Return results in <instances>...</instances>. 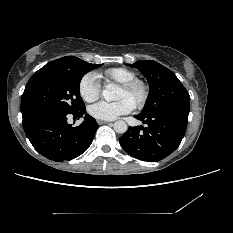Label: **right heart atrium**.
Masks as SVG:
<instances>
[{"label": "right heart atrium", "instance_id": "d8ad5b80", "mask_svg": "<svg viewBox=\"0 0 233 233\" xmlns=\"http://www.w3.org/2000/svg\"><path fill=\"white\" fill-rule=\"evenodd\" d=\"M79 94L87 102L97 100L101 95L98 78L93 73L84 75L79 83Z\"/></svg>", "mask_w": 233, "mask_h": 233}]
</instances>
